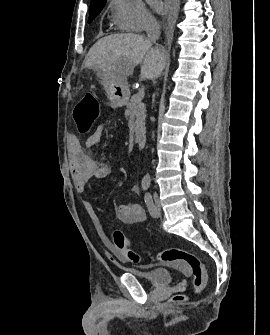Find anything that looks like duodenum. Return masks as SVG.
Instances as JSON below:
<instances>
[{"mask_svg": "<svg viewBox=\"0 0 270 335\" xmlns=\"http://www.w3.org/2000/svg\"><path fill=\"white\" fill-rule=\"evenodd\" d=\"M135 141L139 148L143 149L146 146V136L144 133H138L135 137Z\"/></svg>", "mask_w": 270, "mask_h": 335, "instance_id": "obj_1", "label": "duodenum"}]
</instances>
